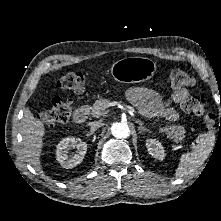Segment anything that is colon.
Segmentation results:
<instances>
[{
    "instance_id": "5ec220e1",
    "label": "colon",
    "mask_w": 221,
    "mask_h": 221,
    "mask_svg": "<svg viewBox=\"0 0 221 221\" xmlns=\"http://www.w3.org/2000/svg\"><path fill=\"white\" fill-rule=\"evenodd\" d=\"M169 80L174 89H186L195 84V78L181 69L171 70ZM57 86L80 94L84 91L85 77L81 72L68 70L58 79ZM72 104L71 98L64 99L61 96H54L51 99L50 109L42 113V119L49 126L66 124L72 116ZM181 108L191 116L205 117L208 127L214 126L215 116L207 114V101L205 98L199 96L191 97L182 104Z\"/></svg>"
}]
</instances>
